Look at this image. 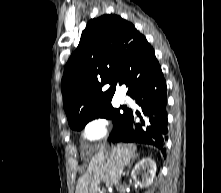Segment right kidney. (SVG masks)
I'll list each match as a JSON object with an SVG mask.
<instances>
[{
	"label": "right kidney",
	"instance_id": "right-kidney-1",
	"mask_svg": "<svg viewBox=\"0 0 221 193\" xmlns=\"http://www.w3.org/2000/svg\"><path fill=\"white\" fill-rule=\"evenodd\" d=\"M143 172L142 180L137 181V175ZM156 174V163L150 157L143 158L140 162H138L134 169L131 172L132 178L140 185V186H149L155 177Z\"/></svg>",
	"mask_w": 221,
	"mask_h": 193
}]
</instances>
